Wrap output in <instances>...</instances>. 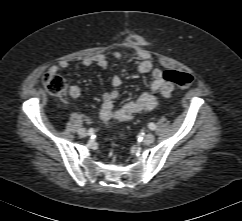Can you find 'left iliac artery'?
Instances as JSON below:
<instances>
[{"mask_svg": "<svg viewBox=\"0 0 242 221\" xmlns=\"http://www.w3.org/2000/svg\"><path fill=\"white\" fill-rule=\"evenodd\" d=\"M149 128L151 129V130H155V128H156V126H155V124L154 123H149Z\"/></svg>", "mask_w": 242, "mask_h": 221, "instance_id": "1", "label": "left iliac artery"}]
</instances>
